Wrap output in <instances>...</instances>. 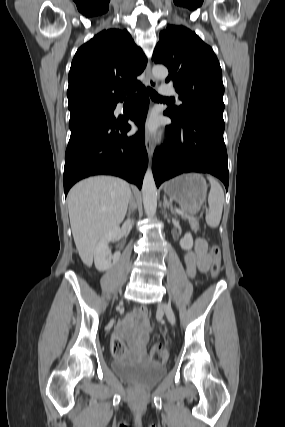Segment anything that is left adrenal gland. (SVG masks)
Returning a JSON list of instances; mask_svg holds the SVG:
<instances>
[{"label": "left adrenal gland", "mask_w": 285, "mask_h": 427, "mask_svg": "<svg viewBox=\"0 0 285 427\" xmlns=\"http://www.w3.org/2000/svg\"><path fill=\"white\" fill-rule=\"evenodd\" d=\"M163 207H164V209H166V208L169 209L172 214H175V211L173 210L172 204L170 202H168L165 195H164Z\"/></svg>", "instance_id": "1"}]
</instances>
